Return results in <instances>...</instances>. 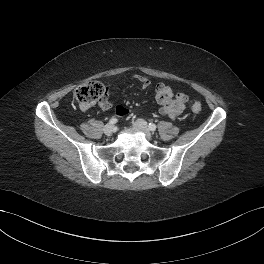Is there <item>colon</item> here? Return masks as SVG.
I'll return each instance as SVG.
<instances>
[{"label": "colon", "instance_id": "obj_1", "mask_svg": "<svg viewBox=\"0 0 264 264\" xmlns=\"http://www.w3.org/2000/svg\"><path fill=\"white\" fill-rule=\"evenodd\" d=\"M106 87L98 81H90L81 86H79L75 92L74 96L80 106L90 107L96 102H100L106 96ZM194 113H199L202 109L201 104L195 102L192 107Z\"/></svg>", "mask_w": 264, "mask_h": 264}]
</instances>
